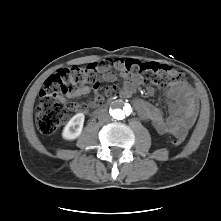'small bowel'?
Here are the masks:
<instances>
[{"label": "small bowel", "instance_id": "1", "mask_svg": "<svg viewBox=\"0 0 221 221\" xmlns=\"http://www.w3.org/2000/svg\"><path fill=\"white\" fill-rule=\"evenodd\" d=\"M115 68L120 72L122 78V86L120 93L123 97H130L136 86L137 80L133 78L125 68V61L121 59H110L106 63H102L99 67L100 78L95 85H87L75 89L67 98H77L87 95L92 90L96 91L99 88L100 82H114L116 75L111 72V68ZM148 94L152 95L154 89L149 87ZM165 99L169 107V116L164 117L163 111L143 99L135 98L133 105L139 117L142 120L150 122L153 127L162 134L184 137L189 129L193 126L198 112V101L193 89L185 82L178 81L173 83L165 92ZM101 101V97H96L91 107L96 106ZM67 107L79 113L86 114L88 106L77 104L74 102L67 103Z\"/></svg>", "mask_w": 221, "mask_h": 221}]
</instances>
